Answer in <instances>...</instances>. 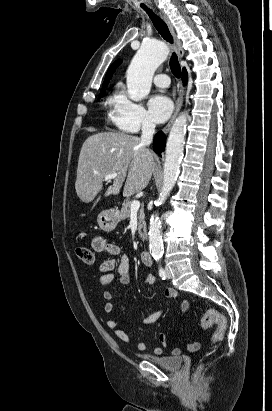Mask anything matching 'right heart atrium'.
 Masks as SVG:
<instances>
[{"mask_svg": "<svg viewBox=\"0 0 272 411\" xmlns=\"http://www.w3.org/2000/svg\"><path fill=\"white\" fill-rule=\"evenodd\" d=\"M109 105V120L120 131L137 133L141 129H151L154 126L146 109L129 98L123 88L116 90Z\"/></svg>", "mask_w": 272, "mask_h": 411, "instance_id": "obj_1", "label": "right heart atrium"}]
</instances>
